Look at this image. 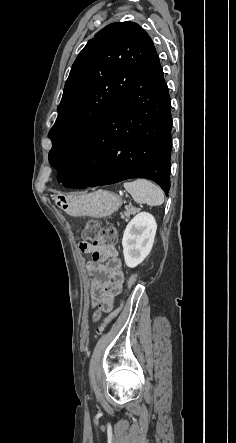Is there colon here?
Instances as JSON below:
<instances>
[{
  "mask_svg": "<svg viewBox=\"0 0 236 443\" xmlns=\"http://www.w3.org/2000/svg\"><path fill=\"white\" fill-rule=\"evenodd\" d=\"M83 237L92 245H110L116 242L117 234L115 227L109 226L106 228H102L101 224L97 220H89L86 223ZM135 281L136 276L131 277V279L129 280V287L133 286ZM120 310L121 308H118L109 314L105 322L99 327L97 331L98 338H100L104 334L107 325L118 316Z\"/></svg>",
  "mask_w": 236,
  "mask_h": 443,
  "instance_id": "5ec220e1",
  "label": "colon"
}]
</instances>
